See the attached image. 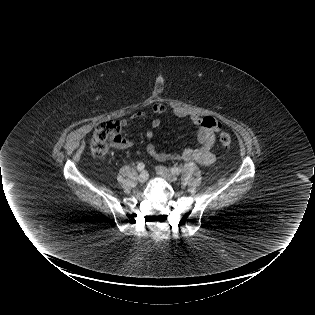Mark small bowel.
<instances>
[{"label": "small bowel", "instance_id": "c3829d8e", "mask_svg": "<svg viewBox=\"0 0 315 315\" xmlns=\"http://www.w3.org/2000/svg\"><path fill=\"white\" fill-rule=\"evenodd\" d=\"M167 111V107L162 103H155L152 108V114L158 116ZM175 116L179 118L188 117L196 127L198 147H188L181 153H165L157 150L153 143H148L146 150L148 154L158 162L167 160H183L187 162H195L201 165H211L214 163L216 156L213 152V147L216 143L217 133L221 128V124L213 117H198L196 115H189L183 110H173ZM150 115L147 112H137L128 119H123L119 123L121 126L128 125L131 121L137 119L149 118ZM161 125V120L158 117L151 119V129L146 132V138L151 140L154 137L155 129H158ZM120 148H127L131 146V142L123 140L117 145Z\"/></svg>", "mask_w": 315, "mask_h": 315}]
</instances>
